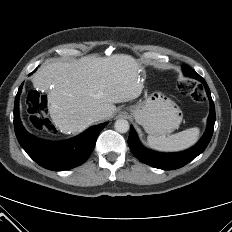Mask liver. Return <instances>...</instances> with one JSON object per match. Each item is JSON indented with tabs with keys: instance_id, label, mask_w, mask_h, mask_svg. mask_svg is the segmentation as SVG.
I'll return each mask as SVG.
<instances>
[{
	"instance_id": "1",
	"label": "liver",
	"mask_w": 232,
	"mask_h": 232,
	"mask_svg": "<svg viewBox=\"0 0 232 232\" xmlns=\"http://www.w3.org/2000/svg\"><path fill=\"white\" fill-rule=\"evenodd\" d=\"M140 68L130 55H90L43 65L32 82L39 90L51 87L49 112L53 123L63 133H78L96 122L92 114L110 118L116 111L114 104L140 96L144 88Z\"/></svg>"
}]
</instances>
